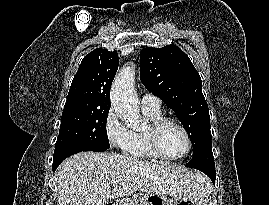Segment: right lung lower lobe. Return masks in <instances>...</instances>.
<instances>
[{
  "label": "right lung lower lobe",
  "mask_w": 269,
  "mask_h": 205,
  "mask_svg": "<svg viewBox=\"0 0 269 205\" xmlns=\"http://www.w3.org/2000/svg\"><path fill=\"white\" fill-rule=\"evenodd\" d=\"M108 149H104L94 145H82V144H65L61 146H57L54 151L53 156V164L52 168L55 169L59 166V164L66 159L67 157L82 152V151H95L102 152Z\"/></svg>",
  "instance_id": "98d812e1"
}]
</instances>
